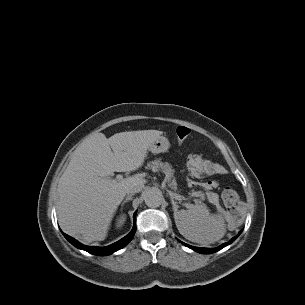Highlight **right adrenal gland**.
I'll return each mask as SVG.
<instances>
[{
	"label": "right adrenal gland",
	"mask_w": 305,
	"mask_h": 305,
	"mask_svg": "<svg viewBox=\"0 0 305 305\" xmlns=\"http://www.w3.org/2000/svg\"><path fill=\"white\" fill-rule=\"evenodd\" d=\"M133 194L127 195L124 201L122 202L121 206H123L126 202L132 200Z\"/></svg>",
	"instance_id": "right-adrenal-gland-1"
}]
</instances>
